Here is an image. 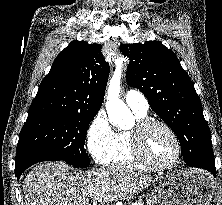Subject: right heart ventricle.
Wrapping results in <instances>:
<instances>
[{
  "label": "right heart ventricle",
  "instance_id": "1",
  "mask_svg": "<svg viewBox=\"0 0 222 205\" xmlns=\"http://www.w3.org/2000/svg\"><path fill=\"white\" fill-rule=\"evenodd\" d=\"M133 112L138 120H142L146 117V113H140L135 110H133ZM106 163L116 167L151 170L150 167L142 163L135 156L130 131H120L115 133L114 145Z\"/></svg>",
  "mask_w": 222,
  "mask_h": 205
}]
</instances>
